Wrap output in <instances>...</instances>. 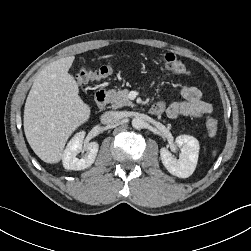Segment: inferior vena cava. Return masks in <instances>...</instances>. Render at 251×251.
Listing matches in <instances>:
<instances>
[{
    "label": "inferior vena cava",
    "mask_w": 251,
    "mask_h": 251,
    "mask_svg": "<svg viewBox=\"0 0 251 251\" xmlns=\"http://www.w3.org/2000/svg\"><path fill=\"white\" fill-rule=\"evenodd\" d=\"M101 123L105 125H112L119 121V115L115 111H107L101 115Z\"/></svg>",
    "instance_id": "602c4592"
}]
</instances>
